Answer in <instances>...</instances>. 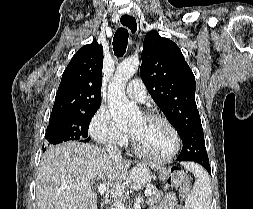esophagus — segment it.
Masks as SVG:
<instances>
[{
  "mask_svg": "<svg viewBox=\"0 0 253 209\" xmlns=\"http://www.w3.org/2000/svg\"><path fill=\"white\" fill-rule=\"evenodd\" d=\"M120 23L125 28L130 29L128 26L132 27V30L130 31L134 34L137 31L138 23L137 18L134 13H125L120 16Z\"/></svg>",
  "mask_w": 253,
  "mask_h": 209,
  "instance_id": "esophagus-1",
  "label": "esophagus"
}]
</instances>
